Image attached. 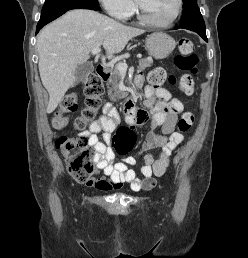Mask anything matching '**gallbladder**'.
Listing matches in <instances>:
<instances>
[{
  "instance_id": "gallbladder-1",
  "label": "gallbladder",
  "mask_w": 248,
  "mask_h": 258,
  "mask_svg": "<svg viewBox=\"0 0 248 258\" xmlns=\"http://www.w3.org/2000/svg\"><path fill=\"white\" fill-rule=\"evenodd\" d=\"M93 70H94V67L92 63L80 64L76 69V75L79 79H81L91 74Z\"/></svg>"
}]
</instances>
